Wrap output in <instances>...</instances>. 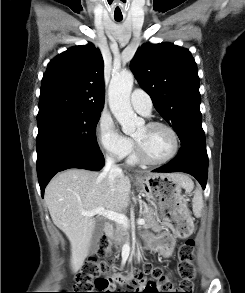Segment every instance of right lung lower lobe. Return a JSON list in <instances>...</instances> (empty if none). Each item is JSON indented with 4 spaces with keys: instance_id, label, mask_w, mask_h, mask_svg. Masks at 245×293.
Listing matches in <instances>:
<instances>
[{
    "instance_id": "right-lung-lower-lobe-1",
    "label": "right lung lower lobe",
    "mask_w": 245,
    "mask_h": 293,
    "mask_svg": "<svg viewBox=\"0 0 245 293\" xmlns=\"http://www.w3.org/2000/svg\"><path fill=\"white\" fill-rule=\"evenodd\" d=\"M103 166L104 157L100 151L71 149L56 153L37 168L42 197L46 185L57 172L69 168L99 171Z\"/></svg>"
}]
</instances>
